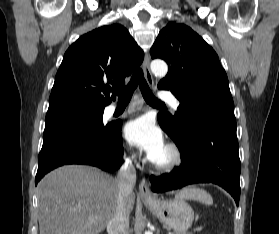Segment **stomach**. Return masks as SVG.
<instances>
[{
    "mask_svg": "<svg viewBox=\"0 0 279 234\" xmlns=\"http://www.w3.org/2000/svg\"><path fill=\"white\" fill-rule=\"evenodd\" d=\"M152 213L177 234H183L194 220L193 209L183 200L143 201Z\"/></svg>",
    "mask_w": 279,
    "mask_h": 234,
    "instance_id": "obj_1",
    "label": "stomach"
}]
</instances>
